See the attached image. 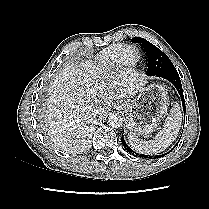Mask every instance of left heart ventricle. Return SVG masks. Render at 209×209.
<instances>
[{"mask_svg":"<svg viewBox=\"0 0 209 209\" xmlns=\"http://www.w3.org/2000/svg\"><path fill=\"white\" fill-rule=\"evenodd\" d=\"M135 53L132 50H128L125 53V59L127 60H131L134 57Z\"/></svg>","mask_w":209,"mask_h":209,"instance_id":"b2bd125f","label":"left heart ventricle"}]
</instances>
